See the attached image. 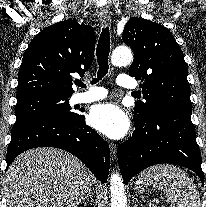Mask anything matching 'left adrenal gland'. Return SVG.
Listing matches in <instances>:
<instances>
[{
    "mask_svg": "<svg viewBox=\"0 0 206 207\" xmlns=\"http://www.w3.org/2000/svg\"><path fill=\"white\" fill-rule=\"evenodd\" d=\"M134 204H135V207L138 206V200H137V198H134Z\"/></svg>",
    "mask_w": 206,
    "mask_h": 207,
    "instance_id": "1",
    "label": "left adrenal gland"
}]
</instances>
